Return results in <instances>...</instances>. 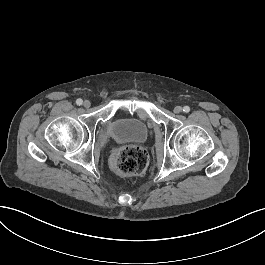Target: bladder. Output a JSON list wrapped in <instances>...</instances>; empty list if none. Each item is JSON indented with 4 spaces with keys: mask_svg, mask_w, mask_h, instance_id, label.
Masks as SVG:
<instances>
[{
    "mask_svg": "<svg viewBox=\"0 0 265 265\" xmlns=\"http://www.w3.org/2000/svg\"><path fill=\"white\" fill-rule=\"evenodd\" d=\"M108 133L118 142L141 143L148 137V127L145 122L137 118H118L109 124Z\"/></svg>",
    "mask_w": 265,
    "mask_h": 265,
    "instance_id": "bladder-1",
    "label": "bladder"
}]
</instances>
